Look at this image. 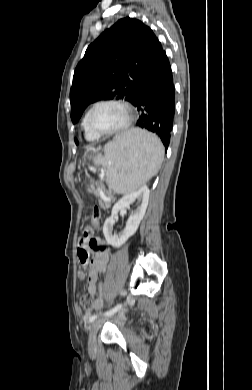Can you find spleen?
Masks as SVG:
<instances>
[{"label": "spleen", "mask_w": 252, "mask_h": 390, "mask_svg": "<svg viewBox=\"0 0 252 390\" xmlns=\"http://www.w3.org/2000/svg\"><path fill=\"white\" fill-rule=\"evenodd\" d=\"M164 158L160 139L145 130L132 129L118 135L94 159L106 170V183L119 194H130L157 174Z\"/></svg>", "instance_id": "obj_1"}]
</instances>
